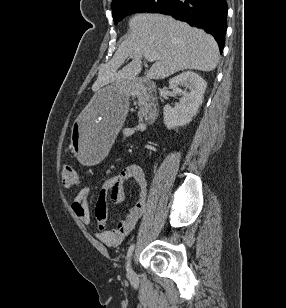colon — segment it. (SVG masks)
Instances as JSON below:
<instances>
[{
  "mask_svg": "<svg viewBox=\"0 0 286 308\" xmlns=\"http://www.w3.org/2000/svg\"><path fill=\"white\" fill-rule=\"evenodd\" d=\"M61 179L66 186H75L79 183L77 171L71 166L63 167L61 171Z\"/></svg>",
  "mask_w": 286,
  "mask_h": 308,
  "instance_id": "obj_1",
  "label": "colon"
}]
</instances>
